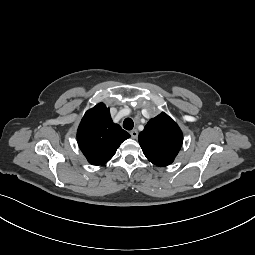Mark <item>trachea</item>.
<instances>
[{"label":"trachea","instance_id":"3493384b","mask_svg":"<svg viewBox=\"0 0 255 255\" xmlns=\"http://www.w3.org/2000/svg\"><path fill=\"white\" fill-rule=\"evenodd\" d=\"M134 126V122L131 118H126L123 122V127L126 130H132Z\"/></svg>","mask_w":255,"mask_h":255}]
</instances>
